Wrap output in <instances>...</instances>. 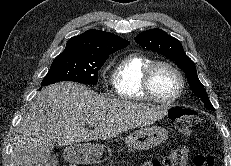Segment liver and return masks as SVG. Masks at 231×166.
<instances>
[{
  "instance_id": "obj_1",
  "label": "liver",
  "mask_w": 231,
  "mask_h": 166,
  "mask_svg": "<svg viewBox=\"0 0 231 166\" xmlns=\"http://www.w3.org/2000/svg\"><path fill=\"white\" fill-rule=\"evenodd\" d=\"M166 114L163 106L110 99L74 82L56 83L39 92L22 118L13 138L12 160L14 166H44L55 145L112 139Z\"/></svg>"
}]
</instances>
